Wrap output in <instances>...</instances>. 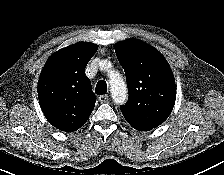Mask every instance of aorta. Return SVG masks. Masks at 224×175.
Listing matches in <instances>:
<instances>
[{
	"mask_svg": "<svg viewBox=\"0 0 224 175\" xmlns=\"http://www.w3.org/2000/svg\"><path fill=\"white\" fill-rule=\"evenodd\" d=\"M110 91L115 103H125L128 92L125 81L119 75V73L113 72L109 75Z\"/></svg>",
	"mask_w": 224,
	"mask_h": 175,
	"instance_id": "aorta-1",
	"label": "aorta"
}]
</instances>
